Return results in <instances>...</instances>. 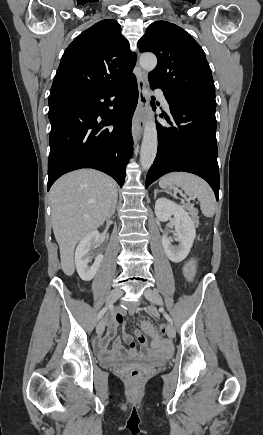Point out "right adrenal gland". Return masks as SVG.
<instances>
[{"instance_id":"1","label":"right adrenal gland","mask_w":263,"mask_h":435,"mask_svg":"<svg viewBox=\"0 0 263 435\" xmlns=\"http://www.w3.org/2000/svg\"><path fill=\"white\" fill-rule=\"evenodd\" d=\"M116 205H117V200L115 201L114 205L112 206V209H111L110 215L113 214V213L115 212ZM110 215H109V216H110Z\"/></svg>"}]
</instances>
